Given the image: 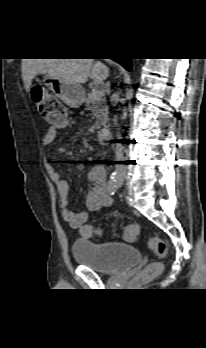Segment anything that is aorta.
<instances>
[{
    "mask_svg": "<svg viewBox=\"0 0 206 348\" xmlns=\"http://www.w3.org/2000/svg\"><path fill=\"white\" fill-rule=\"evenodd\" d=\"M126 117H127V113H126V110L124 109L121 118L124 120L126 119Z\"/></svg>",
    "mask_w": 206,
    "mask_h": 348,
    "instance_id": "1",
    "label": "aorta"
}]
</instances>
